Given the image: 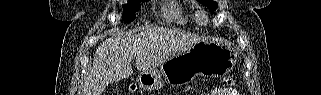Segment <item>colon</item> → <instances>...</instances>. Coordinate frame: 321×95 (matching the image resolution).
Wrapping results in <instances>:
<instances>
[{"label":"colon","instance_id":"1","mask_svg":"<svg viewBox=\"0 0 321 95\" xmlns=\"http://www.w3.org/2000/svg\"><path fill=\"white\" fill-rule=\"evenodd\" d=\"M223 84L227 87H234L236 86V80L232 76H226L223 78Z\"/></svg>","mask_w":321,"mask_h":95}]
</instances>
